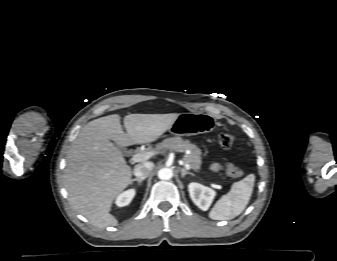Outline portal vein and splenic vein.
<instances>
[{"mask_svg":"<svg viewBox=\"0 0 337 261\" xmlns=\"http://www.w3.org/2000/svg\"><path fill=\"white\" fill-rule=\"evenodd\" d=\"M152 156L151 152H140V153H136L135 155H133V157L131 158V160L135 163V162H142V161H146L148 160L150 157ZM184 167L189 170L191 167L188 163L184 164Z\"/></svg>","mask_w":337,"mask_h":261,"instance_id":"portal-vein-and-splenic-vein-1","label":"portal vein and splenic vein"}]
</instances>
